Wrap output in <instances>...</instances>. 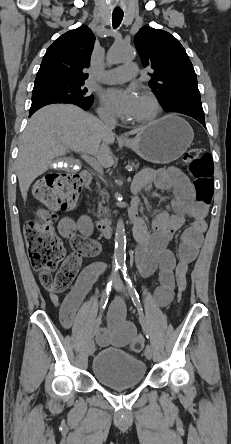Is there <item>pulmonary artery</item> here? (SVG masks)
<instances>
[{"instance_id":"obj_1","label":"pulmonary artery","mask_w":231,"mask_h":444,"mask_svg":"<svg viewBox=\"0 0 231 444\" xmlns=\"http://www.w3.org/2000/svg\"><path fill=\"white\" fill-rule=\"evenodd\" d=\"M137 76V66L133 63H126L115 69L102 73L99 80L107 84L122 83Z\"/></svg>"}]
</instances>
